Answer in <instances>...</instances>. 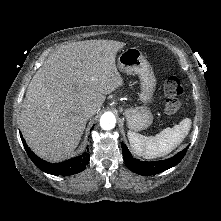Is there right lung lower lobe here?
I'll return each mask as SVG.
<instances>
[{
    "instance_id": "obj_1",
    "label": "right lung lower lobe",
    "mask_w": 221,
    "mask_h": 221,
    "mask_svg": "<svg viewBox=\"0 0 221 221\" xmlns=\"http://www.w3.org/2000/svg\"><path fill=\"white\" fill-rule=\"evenodd\" d=\"M22 143L24 148L32 160V162L43 172L52 175H62L68 176L79 173L86 168V165L89 163L90 156L88 152H84L81 156L75 157L73 159L61 162V163H49L46 162L39 157H37L31 149L27 146L24 139L22 138V134L20 133ZM87 151H89L87 149Z\"/></svg>"
}]
</instances>
